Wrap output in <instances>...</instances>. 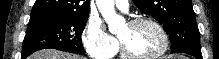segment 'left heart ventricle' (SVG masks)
Listing matches in <instances>:
<instances>
[{
	"label": "left heart ventricle",
	"instance_id": "left-heart-ventricle-1",
	"mask_svg": "<svg viewBox=\"0 0 219 59\" xmlns=\"http://www.w3.org/2000/svg\"><path fill=\"white\" fill-rule=\"evenodd\" d=\"M118 38L127 50L137 56H147L156 52L162 45L157 30L149 24L125 25L118 32Z\"/></svg>",
	"mask_w": 219,
	"mask_h": 59
}]
</instances>
